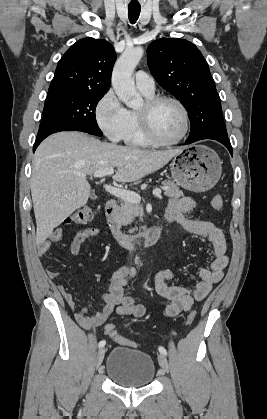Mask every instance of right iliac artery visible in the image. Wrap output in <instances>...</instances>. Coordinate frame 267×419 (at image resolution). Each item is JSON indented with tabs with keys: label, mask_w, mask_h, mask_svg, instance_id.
Listing matches in <instances>:
<instances>
[{
	"label": "right iliac artery",
	"mask_w": 267,
	"mask_h": 419,
	"mask_svg": "<svg viewBox=\"0 0 267 419\" xmlns=\"http://www.w3.org/2000/svg\"><path fill=\"white\" fill-rule=\"evenodd\" d=\"M105 344H106V341H105V340H101V341L99 342V344H98V347H99V348H101V347H103Z\"/></svg>",
	"instance_id": "82829eb1"
}]
</instances>
